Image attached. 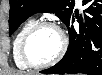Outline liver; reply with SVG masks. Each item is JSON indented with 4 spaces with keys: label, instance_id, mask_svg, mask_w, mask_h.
<instances>
[{
    "label": "liver",
    "instance_id": "1",
    "mask_svg": "<svg viewBox=\"0 0 102 75\" xmlns=\"http://www.w3.org/2000/svg\"><path fill=\"white\" fill-rule=\"evenodd\" d=\"M9 75H25L23 72H10Z\"/></svg>",
    "mask_w": 102,
    "mask_h": 75
}]
</instances>
